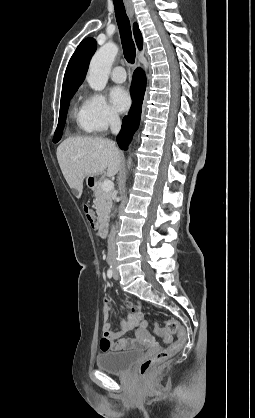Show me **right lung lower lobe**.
Returning <instances> with one entry per match:
<instances>
[{
	"mask_svg": "<svg viewBox=\"0 0 255 418\" xmlns=\"http://www.w3.org/2000/svg\"><path fill=\"white\" fill-rule=\"evenodd\" d=\"M146 88V77L142 69L137 68L133 74L131 84V94L133 98V106L125 116L122 123L120 134L117 137V143L121 149L126 150L133 134L137 130L140 121L141 107Z\"/></svg>",
	"mask_w": 255,
	"mask_h": 418,
	"instance_id": "obj_1",
	"label": "right lung lower lobe"
}]
</instances>
